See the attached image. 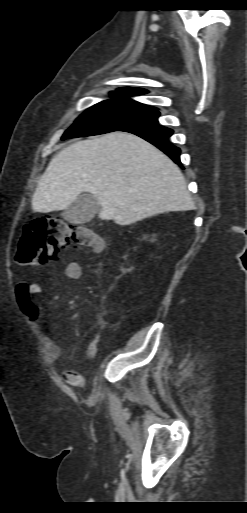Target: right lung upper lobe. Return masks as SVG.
<instances>
[{"label":"right lung upper lobe","mask_w":247,"mask_h":513,"mask_svg":"<svg viewBox=\"0 0 247 513\" xmlns=\"http://www.w3.org/2000/svg\"><path fill=\"white\" fill-rule=\"evenodd\" d=\"M118 91H121V92H128L132 95H141V94H145L147 93L146 90L144 89H140V88H131V87H126V88H119L117 89Z\"/></svg>","instance_id":"cb5924a9"}]
</instances>
